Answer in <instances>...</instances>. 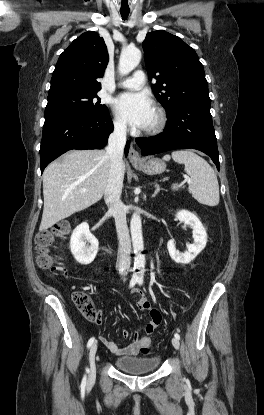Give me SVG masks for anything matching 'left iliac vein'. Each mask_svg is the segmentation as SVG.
Instances as JSON below:
<instances>
[{"mask_svg": "<svg viewBox=\"0 0 264 415\" xmlns=\"http://www.w3.org/2000/svg\"><path fill=\"white\" fill-rule=\"evenodd\" d=\"M172 345L174 346L175 349H179V347H180L179 339H177L175 337L172 338Z\"/></svg>", "mask_w": 264, "mask_h": 415, "instance_id": "4c4485c4", "label": "left iliac vein"}]
</instances>
